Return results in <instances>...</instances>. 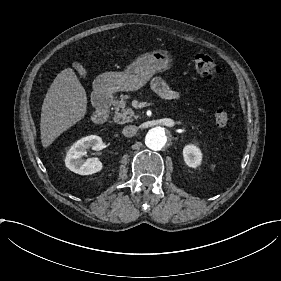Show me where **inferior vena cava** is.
Returning a JSON list of instances; mask_svg holds the SVG:
<instances>
[{
  "label": "inferior vena cava",
  "instance_id": "602c4592",
  "mask_svg": "<svg viewBox=\"0 0 281 281\" xmlns=\"http://www.w3.org/2000/svg\"><path fill=\"white\" fill-rule=\"evenodd\" d=\"M138 131V127L135 125H129V126H125L123 129V135L126 137H132L134 136Z\"/></svg>",
  "mask_w": 281,
  "mask_h": 281
}]
</instances>
